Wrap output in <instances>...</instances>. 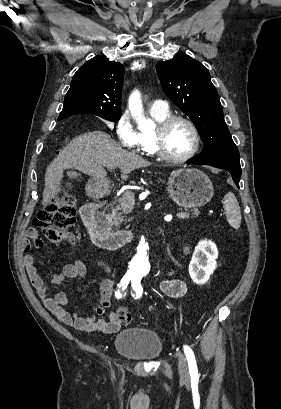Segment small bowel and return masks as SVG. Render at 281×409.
Wrapping results in <instances>:
<instances>
[{
	"label": "small bowel",
	"instance_id": "obj_1",
	"mask_svg": "<svg viewBox=\"0 0 281 409\" xmlns=\"http://www.w3.org/2000/svg\"><path fill=\"white\" fill-rule=\"evenodd\" d=\"M31 241L38 252L45 250V245L38 238L35 229L29 228L26 238L23 240L22 248L24 251L23 262L29 276V279L35 288L40 300L44 305L63 323L74 327L77 330L85 332H100L105 334H114L122 330L129 322L118 319L119 312H128L124 304L110 312L107 318H101L111 305L112 297L116 291L118 280L113 278L104 279L99 284L96 296L99 298V304L91 307L90 313L80 315L68 309L69 296L64 292H59L55 296L48 294V286L38 274L34 256L29 253ZM97 265L105 272L112 274L113 270L103 260H96ZM85 263L82 259H77L74 263L63 266L62 271L53 274L51 283L61 285L68 280H79L85 275ZM166 278L160 282L161 292L171 298H180L186 294V283L175 276L173 269L167 271Z\"/></svg>",
	"mask_w": 281,
	"mask_h": 409
}]
</instances>
